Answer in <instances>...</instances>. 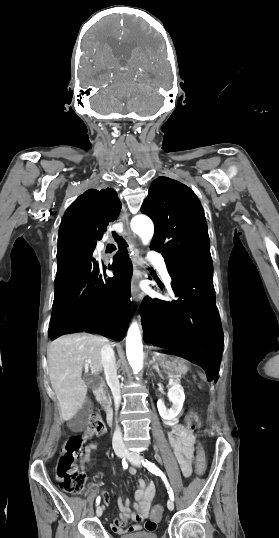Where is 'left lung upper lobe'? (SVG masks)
Segmentation results:
<instances>
[{
  "mask_svg": "<svg viewBox=\"0 0 279 538\" xmlns=\"http://www.w3.org/2000/svg\"><path fill=\"white\" fill-rule=\"evenodd\" d=\"M141 212L154 221L150 247L162 253L168 269L212 266L204 211L190 188L159 177L152 182Z\"/></svg>",
  "mask_w": 279,
  "mask_h": 538,
  "instance_id": "5c2ea615",
  "label": "left lung upper lobe"
}]
</instances>
